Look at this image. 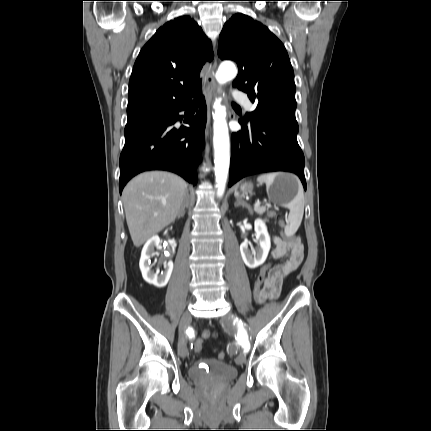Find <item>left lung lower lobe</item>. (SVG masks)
<instances>
[{"instance_id": "obj_1", "label": "left lung lower lobe", "mask_w": 431, "mask_h": 431, "mask_svg": "<svg viewBox=\"0 0 431 431\" xmlns=\"http://www.w3.org/2000/svg\"><path fill=\"white\" fill-rule=\"evenodd\" d=\"M242 130L232 134L229 186L262 172L287 171L299 176L304 189V155L297 142L298 124L272 116L239 121Z\"/></svg>"}]
</instances>
